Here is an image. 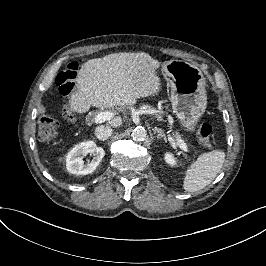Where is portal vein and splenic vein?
I'll list each match as a JSON object with an SVG mask.
<instances>
[{"label":"portal vein and splenic vein","mask_w":266,"mask_h":266,"mask_svg":"<svg viewBox=\"0 0 266 266\" xmlns=\"http://www.w3.org/2000/svg\"><path fill=\"white\" fill-rule=\"evenodd\" d=\"M114 117V113L106 111V112H101L96 115L95 117V123H103L105 121H110ZM178 143L180 144V148L184 150L185 152L188 151L187 145L184 143L183 140L179 139Z\"/></svg>","instance_id":"obj_1"}]
</instances>
